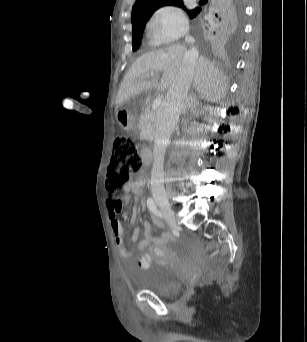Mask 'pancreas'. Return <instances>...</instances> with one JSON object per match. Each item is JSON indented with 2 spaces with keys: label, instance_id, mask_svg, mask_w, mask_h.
Here are the masks:
<instances>
[{
  "label": "pancreas",
  "instance_id": "1",
  "mask_svg": "<svg viewBox=\"0 0 307 342\" xmlns=\"http://www.w3.org/2000/svg\"><path fill=\"white\" fill-rule=\"evenodd\" d=\"M155 118L156 112H144V114H141L138 124L139 130H141V132H149V134H152V122H154Z\"/></svg>",
  "mask_w": 307,
  "mask_h": 342
}]
</instances>
